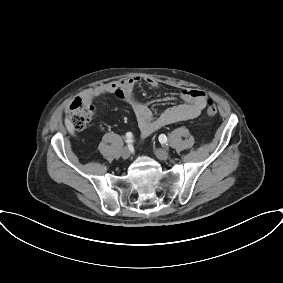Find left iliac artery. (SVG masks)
<instances>
[{
  "label": "left iliac artery",
  "mask_w": 283,
  "mask_h": 283,
  "mask_svg": "<svg viewBox=\"0 0 283 283\" xmlns=\"http://www.w3.org/2000/svg\"><path fill=\"white\" fill-rule=\"evenodd\" d=\"M159 142L162 144L167 143V137L164 134L159 135Z\"/></svg>",
  "instance_id": "1"
}]
</instances>
